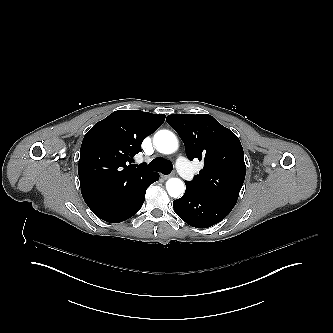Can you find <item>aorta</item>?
Here are the masks:
<instances>
[{"label":"aorta","instance_id":"aorta-1","mask_svg":"<svg viewBox=\"0 0 333 333\" xmlns=\"http://www.w3.org/2000/svg\"><path fill=\"white\" fill-rule=\"evenodd\" d=\"M156 149L163 154H173L178 150L179 143L176 136L168 130H160L154 136ZM166 189L171 197L177 198L183 195L185 184L179 178H170L166 182Z\"/></svg>","mask_w":333,"mask_h":333}]
</instances>
